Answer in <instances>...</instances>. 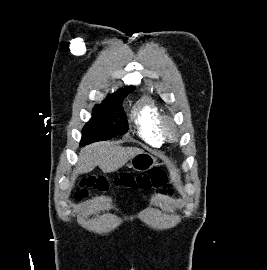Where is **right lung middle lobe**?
Here are the masks:
<instances>
[{"label": "right lung middle lobe", "mask_w": 267, "mask_h": 270, "mask_svg": "<svg viewBox=\"0 0 267 270\" xmlns=\"http://www.w3.org/2000/svg\"><path fill=\"white\" fill-rule=\"evenodd\" d=\"M134 90L109 95L93 109V116L82 131L81 146L108 140L128 131L126 115L122 108L123 98Z\"/></svg>", "instance_id": "dd1d6c3e"}]
</instances>
